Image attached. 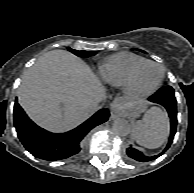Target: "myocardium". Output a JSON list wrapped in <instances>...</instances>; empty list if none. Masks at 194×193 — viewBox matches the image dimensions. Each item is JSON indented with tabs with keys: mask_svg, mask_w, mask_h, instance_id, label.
<instances>
[{
	"mask_svg": "<svg viewBox=\"0 0 194 193\" xmlns=\"http://www.w3.org/2000/svg\"><path fill=\"white\" fill-rule=\"evenodd\" d=\"M147 64L156 66L160 69V78L155 86H153L150 89L143 90V89H140L137 85V77H138V73L141 70V68ZM164 75H165V70H164V67L160 63L152 61V60H144L133 68L129 76V79L126 85L124 86L125 93L128 96L133 97V98L148 97L154 94L161 87L162 82L164 80Z\"/></svg>",
	"mask_w": 194,
	"mask_h": 193,
	"instance_id": "obj_1",
	"label": "myocardium"
}]
</instances>
